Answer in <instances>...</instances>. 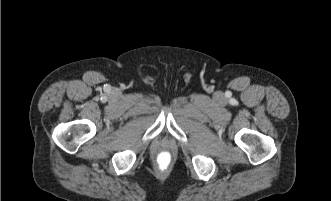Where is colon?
<instances>
[{
	"label": "colon",
	"mask_w": 331,
	"mask_h": 201,
	"mask_svg": "<svg viewBox=\"0 0 331 201\" xmlns=\"http://www.w3.org/2000/svg\"><path fill=\"white\" fill-rule=\"evenodd\" d=\"M155 166L161 172H167L174 165V158L168 149H161L155 156Z\"/></svg>",
	"instance_id": "obj_1"
}]
</instances>
